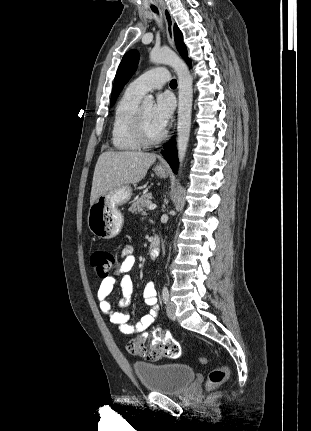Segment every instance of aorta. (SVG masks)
I'll list each match as a JSON object with an SVG mask.
<instances>
[{"instance_id": "aorta-1", "label": "aorta", "mask_w": 311, "mask_h": 431, "mask_svg": "<svg viewBox=\"0 0 311 431\" xmlns=\"http://www.w3.org/2000/svg\"><path fill=\"white\" fill-rule=\"evenodd\" d=\"M150 62L152 64H167L175 70L178 76L179 100L177 122V150H178V176L182 174V166L185 160L191 130V112L193 102L192 76L183 60H180L172 50H151ZM154 96H145L143 106L152 108Z\"/></svg>"}]
</instances>
